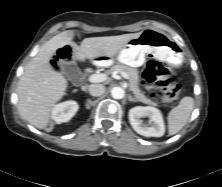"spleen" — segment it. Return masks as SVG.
Masks as SVG:
<instances>
[{
	"label": "spleen",
	"instance_id": "spleen-1",
	"mask_svg": "<svg viewBox=\"0 0 222 187\" xmlns=\"http://www.w3.org/2000/svg\"><path fill=\"white\" fill-rule=\"evenodd\" d=\"M193 108L194 99L186 96L169 112L167 117L169 135H175L186 125Z\"/></svg>",
	"mask_w": 222,
	"mask_h": 187
}]
</instances>
